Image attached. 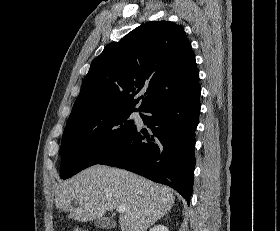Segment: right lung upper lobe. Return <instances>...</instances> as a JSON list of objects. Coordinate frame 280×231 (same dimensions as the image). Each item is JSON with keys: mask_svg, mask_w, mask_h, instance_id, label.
I'll return each mask as SVG.
<instances>
[{"mask_svg": "<svg viewBox=\"0 0 280 231\" xmlns=\"http://www.w3.org/2000/svg\"><path fill=\"white\" fill-rule=\"evenodd\" d=\"M198 88L195 54L183 27L169 21L149 22L108 44L92 61L69 119L144 112ZM140 91H146L145 97L134 99Z\"/></svg>", "mask_w": 280, "mask_h": 231, "instance_id": "obj_1", "label": "right lung upper lobe"}]
</instances>
